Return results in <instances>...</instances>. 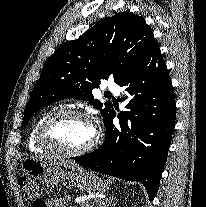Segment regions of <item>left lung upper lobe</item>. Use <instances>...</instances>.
Returning a JSON list of instances; mask_svg holds the SVG:
<instances>
[{
    "instance_id": "left-lung-upper-lobe-1",
    "label": "left lung upper lobe",
    "mask_w": 206,
    "mask_h": 207,
    "mask_svg": "<svg viewBox=\"0 0 206 207\" xmlns=\"http://www.w3.org/2000/svg\"><path fill=\"white\" fill-rule=\"evenodd\" d=\"M156 44L144 18L129 11L102 20L77 40L62 44L43 66L25 107L23 126L38 110L65 98L89 100L106 124L113 106L107 102L103 108L92 89L110 76L120 84Z\"/></svg>"
}]
</instances>
